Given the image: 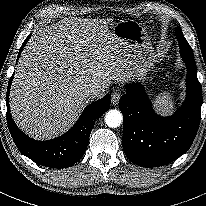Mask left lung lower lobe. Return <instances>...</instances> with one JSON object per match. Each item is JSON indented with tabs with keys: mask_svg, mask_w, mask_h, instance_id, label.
<instances>
[{
	"mask_svg": "<svg viewBox=\"0 0 206 206\" xmlns=\"http://www.w3.org/2000/svg\"><path fill=\"white\" fill-rule=\"evenodd\" d=\"M187 65L186 101L171 117H160L140 83L127 84L119 101L123 114L122 144L126 156L141 167L166 165L183 155L197 134L202 106V88L194 56L180 48Z\"/></svg>",
	"mask_w": 206,
	"mask_h": 206,
	"instance_id": "left-lung-lower-lobe-1",
	"label": "left lung lower lobe"
}]
</instances>
